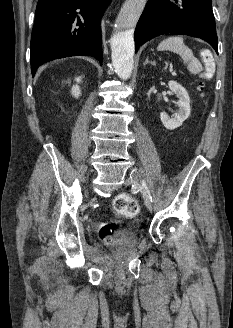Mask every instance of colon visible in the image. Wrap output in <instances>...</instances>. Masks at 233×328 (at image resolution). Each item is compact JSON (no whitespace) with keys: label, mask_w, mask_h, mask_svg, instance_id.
<instances>
[{"label":"colon","mask_w":233,"mask_h":328,"mask_svg":"<svg viewBox=\"0 0 233 328\" xmlns=\"http://www.w3.org/2000/svg\"><path fill=\"white\" fill-rule=\"evenodd\" d=\"M204 62V72L202 74L203 79H209L214 71V60L213 56L209 52H205L202 55ZM200 87H202V83H200ZM202 89V88H201ZM113 210L114 212L126 218L134 217L139 212L138 202L131 196L127 194H121L117 196L113 202ZM99 236L107 244H112L116 241L118 236L117 228L114 224L108 223L102 226L99 232Z\"/></svg>","instance_id":"colon-1"}]
</instances>
